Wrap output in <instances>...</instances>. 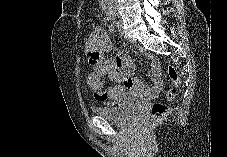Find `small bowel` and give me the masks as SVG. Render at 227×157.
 I'll use <instances>...</instances> for the list:
<instances>
[{"label":"small bowel","instance_id":"c3829d8e","mask_svg":"<svg viewBox=\"0 0 227 157\" xmlns=\"http://www.w3.org/2000/svg\"><path fill=\"white\" fill-rule=\"evenodd\" d=\"M85 49L95 72L106 75L108 81L112 83L101 92H95V98L98 101L127 104L157 97L161 85L158 68L155 65L151 68L152 85L150 87H146L139 79L133 78L134 65L128 55L121 53L113 58L105 57L111 49V42L101 28H96L87 38Z\"/></svg>","mask_w":227,"mask_h":157}]
</instances>
